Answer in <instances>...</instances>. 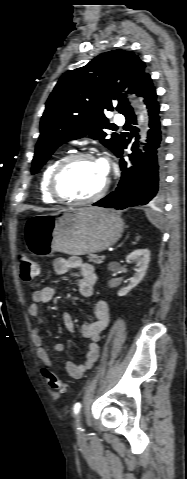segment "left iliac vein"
Instances as JSON below:
<instances>
[{
  "label": "left iliac vein",
  "instance_id": "1",
  "mask_svg": "<svg viewBox=\"0 0 187 479\" xmlns=\"http://www.w3.org/2000/svg\"><path fill=\"white\" fill-rule=\"evenodd\" d=\"M77 426H78V430L81 431L82 430V414L81 413H79L77 416Z\"/></svg>",
  "mask_w": 187,
  "mask_h": 479
}]
</instances>
